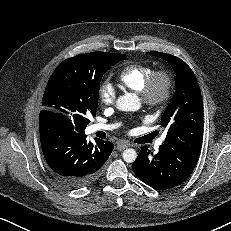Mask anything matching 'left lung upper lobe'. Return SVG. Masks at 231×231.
<instances>
[{"label": "left lung upper lobe", "instance_id": "1", "mask_svg": "<svg viewBox=\"0 0 231 231\" xmlns=\"http://www.w3.org/2000/svg\"><path fill=\"white\" fill-rule=\"evenodd\" d=\"M150 54L170 63L176 74V92L161 119V125L168 128L164 144L178 150L200 152L203 102L195 74L178 57L161 52Z\"/></svg>", "mask_w": 231, "mask_h": 231}]
</instances>
